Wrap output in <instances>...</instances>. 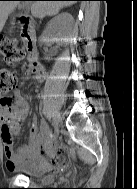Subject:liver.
Returning <instances> with one entry per match:
<instances>
[{
  "mask_svg": "<svg viewBox=\"0 0 137 189\" xmlns=\"http://www.w3.org/2000/svg\"><path fill=\"white\" fill-rule=\"evenodd\" d=\"M73 1H33L27 2L31 6V12L34 16L43 18L44 16L56 15L63 7L72 5ZM18 5L17 1H0V32L2 31L8 15Z\"/></svg>",
  "mask_w": 137,
  "mask_h": 189,
  "instance_id": "6515ba94",
  "label": "liver"
}]
</instances>
